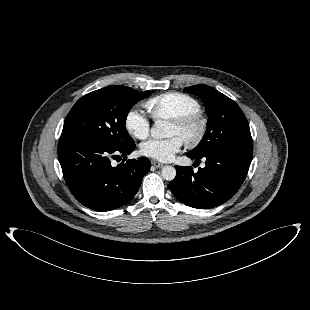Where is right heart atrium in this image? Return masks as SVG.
Segmentation results:
<instances>
[{"mask_svg":"<svg viewBox=\"0 0 310 310\" xmlns=\"http://www.w3.org/2000/svg\"><path fill=\"white\" fill-rule=\"evenodd\" d=\"M126 130L137 139H145L150 133L149 119L137 108H131L124 120Z\"/></svg>","mask_w":310,"mask_h":310,"instance_id":"d8ad5b80","label":"right heart atrium"}]
</instances>
